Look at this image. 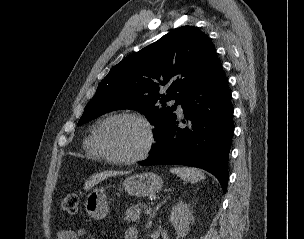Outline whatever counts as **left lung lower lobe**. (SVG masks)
Listing matches in <instances>:
<instances>
[{"label": "left lung lower lobe", "instance_id": "obj_1", "mask_svg": "<svg viewBox=\"0 0 304 239\" xmlns=\"http://www.w3.org/2000/svg\"><path fill=\"white\" fill-rule=\"evenodd\" d=\"M187 121L179 127L176 115L156 139V147L140 165L180 164L212 173L224 193L232 144L233 106L226 76L217 57L180 103Z\"/></svg>", "mask_w": 304, "mask_h": 239}]
</instances>
